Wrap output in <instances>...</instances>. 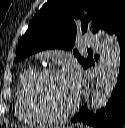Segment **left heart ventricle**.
I'll list each match as a JSON object with an SVG mask.
<instances>
[{
	"mask_svg": "<svg viewBox=\"0 0 125 128\" xmlns=\"http://www.w3.org/2000/svg\"><path fill=\"white\" fill-rule=\"evenodd\" d=\"M39 97L45 107L52 112L68 109L76 98L66 75H55L47 78L40 85Z\"/></svg>",
	"mask_w": 125,
	"mask_h": 128,
	"instance_id": "1",
	"label": "left heart ventricle"
}]
</instances>
